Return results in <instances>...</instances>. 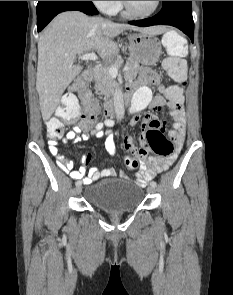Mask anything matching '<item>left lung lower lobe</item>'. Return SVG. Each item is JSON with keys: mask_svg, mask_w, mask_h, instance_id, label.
I'll list each match as a JSON object with an SVG mask.
<instances>
[{"mask_svg": "<svg viewBox=\"0 0 233 295\" xmlns=\"http://www.w3.org/2000/svg\"><path fill=\"white\" fill-rule=\"evenodd\" d=\"M129 23L141 27L158 24L172 25L182 30L193 42L194 22L191 1H166L162 3L161 11L154 17Z\"/></svg>", "mask_w": 233, "mask_h": 295, "instance_id": "1", "label": "left lung lower lobe"}]
</instances>
